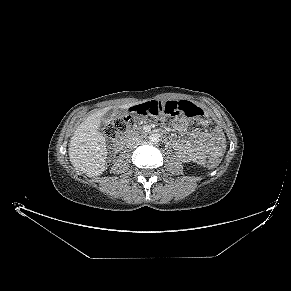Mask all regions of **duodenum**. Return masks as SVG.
Here are the masks:
<instances>
[{"label": "duodenum", "mask_w": 291, "mask_h": 291, "mask_svg": "<svg viewBox=\"0 0 291 291\" xmlns=\"http://www.w3.org/2000/svg\"><path fill=\"white\" fill-rule=\"evenodd\" d=\"M136 133L133 132L131 134H126V135H123V136H120L119 138H117L113 144V147H114V150L115 151H120L124 146L125 144L127 143V141L132 137L134 136Z\"/></svg>", "instance_id": "410a0bca"}]
</instances>
